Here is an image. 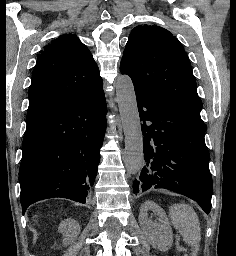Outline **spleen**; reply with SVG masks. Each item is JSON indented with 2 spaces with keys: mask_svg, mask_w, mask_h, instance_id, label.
Segmentation results:
<instances>
[{
  "mask_svg": "<svg viewBox=\"0 0 236 256\" xmlns=\"http://www.w3.org/2000/svg\"><path fill=\"white\" fill-rule=\"evenodd\" d=\"M171 220L179 230L183 242L192 246V250H199L201 240V228L196 212L186 204H174L170 210Z\"/></svg>",
  "mask_w": 236,
  "mask_h": 256,
  "instance_id": "3e777b00",
  "label": "spleen"
}]
</instances>
